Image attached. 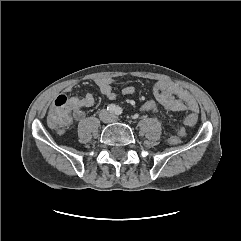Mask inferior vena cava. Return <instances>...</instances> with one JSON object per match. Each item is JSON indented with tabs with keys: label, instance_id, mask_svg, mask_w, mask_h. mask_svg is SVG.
Wrapping results in <instances>:
<instances>
[{
	"label": "inferior vena cava",
	"instance_id": "obj_1",
	"mask_svg": "<svg viewBox=\"0 0 241 241\" xmlns=\"http://www.w3.org/2000/svg\"><path fill=\"white\" fill-rule=\"evenodd\" d=\"M100 119L103 121V122H112L114 120V116L107 112L105 109L101 110L100 112Z\"/></svg>",
	"mask_w": 241,
	"mask_h": 241
}]
</instances>
